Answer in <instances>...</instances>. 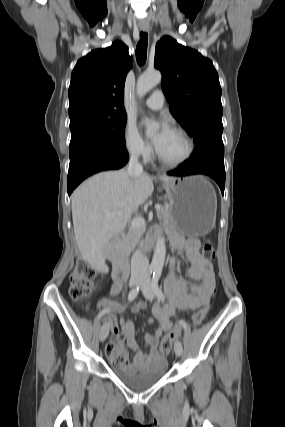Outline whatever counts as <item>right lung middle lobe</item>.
<instances>
[{
  "instance_id": "obj_1",
  "label": "right lung middle lobe",
  "mask_w": 285,
  "mask_h": 427,
  "mask_svg": "<svg viewBox=\"0 0 285 427\" xmlns=\"http://www.w3.org/2000/svg\"><path fill=\"white\" fill-rule=\"evenodd\" d=\"M70 157L81 146L100 142L118 149L125 148L126 112L114 110H87L69 115Z\"/></svg>"
}]
</instances>
